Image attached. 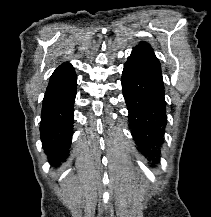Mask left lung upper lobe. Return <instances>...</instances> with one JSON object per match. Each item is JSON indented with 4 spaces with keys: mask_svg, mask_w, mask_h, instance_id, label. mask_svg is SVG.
<instances>
[{
    "mask_svg": "<svg viewBox=\"0 0 211 217\" xmlns=\"http://www.w3.org/2000/svg\"><path fill=\"white\" fill-rule=\"evenodd\" d=\"M126 64L143 72L145 75L164 87L160 62L156 58L149 44L142 42L136 46Z\"/></svg>",
    "mask_w": 211,
    "mask_h": 217,
    "instance_id": "obj_1",
    "label": "left lung upper lobe"
}]
</instances>
